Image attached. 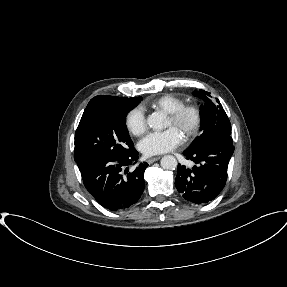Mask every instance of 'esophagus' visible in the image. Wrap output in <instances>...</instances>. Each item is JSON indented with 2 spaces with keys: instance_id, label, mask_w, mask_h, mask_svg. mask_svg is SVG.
<instances>
[{
  "instance_id": "esophagus-1",
  "label": "esophagus",
  "mask_w": 287,
  "mask_h": 287,
  "mask_svg": "<svg viewBox=\"0 0 287 287\" xmlns=\"http://www.w3.org/2000/svg\"><path fill=\"white\" fill-rule=\"evenodd\" d=\"M160 158H161L160 156H156V157L149 158V159L147 160V163H148V164H152V163H154L155 161H158Z\"/></svg>"
}]
</instances>
